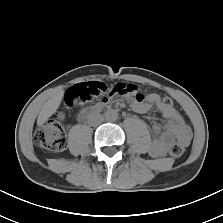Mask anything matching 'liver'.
I'll return each instance as SVG.
<instances>
[{
    "mask_svg": "<svg viewBox=\"0 0 223 223\" xmlns=\"http://www.w3.org/2000/svg\"><path fill=\"white\" fill-rule=\"evenodd\" d=\"M62 97H63V91H60L44 104L37 118L38 126L44 124L47 121V119L56 112L59 105L61 104Z\"/></svg>",
    "mask_w": 223,
    "mask_h": 223,
    "instance_id": "obj_1",
    "label": "liver"
}]
</instances>
